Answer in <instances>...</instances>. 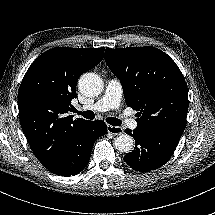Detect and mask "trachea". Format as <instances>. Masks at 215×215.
Listing matches in <instances>:
<instances>
[{"label": "trachea", "mask_w": 215, "mask_h": 215, "mask_svg": "<svg viewBox=\"0 0 215 215\" xmlns=\"http://www.w3.org/2000/svg\"><path fill=\"white\" fill-rule=\"evenodd\" d=\"M72 111L78 115H82L84 118L89 119V120H92L95 118V113L91 110L80 112V111L76 110L75 108H73ZM106 122L113 126L121 125V120L114 118V117H106Z\"/></svg>", "instance_id": "3493384b"}]
</instances>
